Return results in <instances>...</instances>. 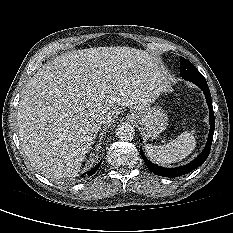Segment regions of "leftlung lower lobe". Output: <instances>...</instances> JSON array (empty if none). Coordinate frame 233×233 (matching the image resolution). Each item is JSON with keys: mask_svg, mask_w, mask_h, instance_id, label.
Returning a JSON list of instances; mask_svg holds the SVG:
<instances>
[{"mask_svg": "<svg viewBox=\"0 0 233 233\" xmlns=\"http://www.w3.org/2000/svg\"><path fill=\"white\" fill-rule=\"evenodd\" d=\"M193 83L196 84L203 91L205 98H206V101H207V104H208V107H209L210 131H209V135H208L207 144H206L204 150L202 151V153L197 158H195L192 162H190L189 164H186L184 166H180V167H176V168H163L161 166L153 164L145 157L142 149H140V154H141V157L143 158L145 164L156 175L163 176V177H169V178L185 175V174L191 172L192 170L196 169L200 165H202L209 155L212 140H213L214 129H215V118H214L211 94H210V90H209V87H208L206 81L193 82Z\"/></svg>", "mask_w": 233, "mask_h": 233, "instance_id": "0a47b994", "label": "left lung lower lobe"}]
</instances>
